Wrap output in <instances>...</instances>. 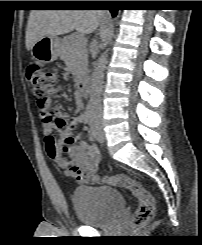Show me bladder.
<instances>
[{"label": "bladder", "mask_w": 202, "mask_h": 245, "mask_svg": "<svg viewBox=\"0 0 202 245\" xmlns=\"http://www.w3.org/2000/svg\"><path fill=\"white\" fill-rule=\"evenodd\" d=\"M72 203L79 222L93 227L109 224L124 208V198L118 190L92 184L78 186Z\"/></svg>", "instance_id": "1"}]
</instances>
